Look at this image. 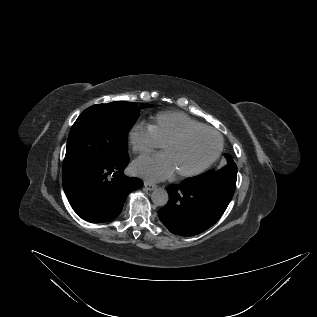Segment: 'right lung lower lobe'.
<instances>
[{"mask_svg": "<svg viewBox=\"0 0 317 317\" xmlns=\"http://www.w3.org/2000/svg\"><path fill=\"white\" fill-rule=\"evenodd\" d=\"M128 163L129 157L125 156L63 175L68 201L82 219L101 223L111 221L121 213L128 194L143 185L140 179L124 175Z\"/></svg>", "mask_w": 317, "mask_h": 317, "instance_id": "98d812e1", "label": "right lung lower lobe"}]
</instances>
